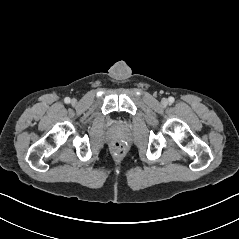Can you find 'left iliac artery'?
Instances as JSON below:
<instances>
[{
    "instance_id": "1",
    "label": "left iliac artery",
    "mask_w": 239,
    "mask_h": 239,
    "mask_svg": "<svg viewBox=\"0 0 239 239\" xmlns=\"http://www.w3.org/2000/svg\"><path fill=\"white\" fill-rule=\"evenodd\" d=\"M168 100H169L170 103H173V102H174V98H173V97H169Z\"/></svg>"
}]
</instances>
